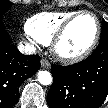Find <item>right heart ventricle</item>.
Listing matches in <instances>:
<instances>
[{
	"label": "right heart ventricle",
	"mask_w": 108,
	"mask_h": 108,
	"mask_svg": "<svg viewBox=\"0 0 108 108\" xmlns=\"http://www.w3.org/2000/svg\"><path fill=\"white\" fill-rule=\"evenodd\" d=\"M77 12H42L31 17L26 25L27 32L38 42L50 44L52 38L71 16Z\"/></svg>",
	"instance_id": "obj_1"
}]
</instances>
